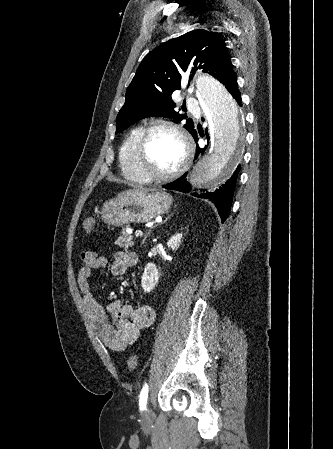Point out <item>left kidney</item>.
<instances>
[{
	"label": "left kidney",
	"instance_id": "5707ae66",
	"mask_svg": "<svg viewBox=\"0 0 333 449\" xmlns=\"http://www.w3.org/2000/svg\"><path fill=\"white\" fill-rule=\"evenodd\" d=\"M181 241H182V234H175L168 240L167 245L172 250H177L179 248ZM158 279L159 275L157 267L154 264L149 263L145 267L141 279V286L144 292H150L151 290H153L158 283Z\"/></svg>",
	"mask_w": 333,
	"mask_h": 449
}]
</instances>
